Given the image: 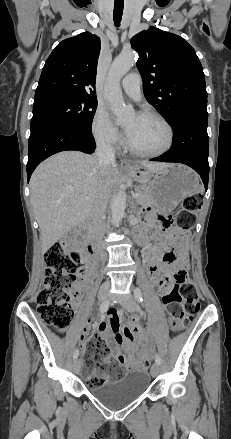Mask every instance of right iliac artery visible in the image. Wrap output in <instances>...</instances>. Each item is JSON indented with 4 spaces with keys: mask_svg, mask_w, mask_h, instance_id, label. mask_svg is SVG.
Instances as JSON below:
<instances>
[{
    "mask_svg": "<svg viewBox=\"0 0 231 439\" xmlns=\"http://www.w3.org/2000/svg\"><path fill=\"white\" fill-rule=\"evenodd\" d=\"M108 307H109V302H108V301L103 302V303L100 305V312H101V313L105 312V311L108 309ZM78 355H79V350H78V349H75V350H74V353H73V357H74V358H77Z\"/></svg>",
    "mask_w": 231,
    "mask_h": 439,
    "instance_id": "obj_1",
    "label": "right iliac artery"
}]
</instances>
